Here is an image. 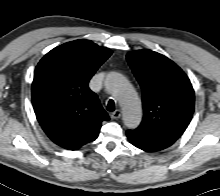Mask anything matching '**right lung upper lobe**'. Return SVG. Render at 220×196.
<instances>
[{
    "mask_svg": "<svg viewBox=\"0 0 220 196\" xmlns=\"http://www.w3.org/2000/svg\"><path fill=\"white\" fill-rule=\"evenodd\" d=\"M112 51L90 40H76L48 52L35 69L32 103L47 136L57 145L77 150L98 137L109 120L88 83Z\"/></svg>",
    "mask_w": 220,
    "mask_h": 196,
    "instance_id": "obj_1",
    "label": "right lung upper lobe"
}]
</instances>
